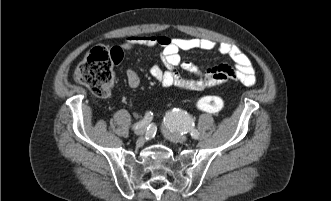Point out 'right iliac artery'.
Here are the masks:
<instances>
[{
  "instance_id": "1",
  "label": "right iliac artery",
  "mask_w": 331,
  "mask_h": 201,
  "mask_svg": "<svg viewBox=\"0 0 331 201\" xmlns=\"http://www.w3.org/2000/svg\"><path fill=\"white\" fill-rule=\"evenodd\" d=\"M152 115H153V113L147 112L145 114L144 118L140 122L134 124L132 128L133 129H137L140 126H146V125H148L150 123V121L152 120Z\"/></svg>"
}]
</instances>
